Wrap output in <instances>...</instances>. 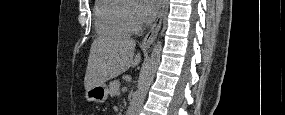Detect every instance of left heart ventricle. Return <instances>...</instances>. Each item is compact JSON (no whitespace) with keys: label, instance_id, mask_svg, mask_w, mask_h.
<instances>
[{"label":"left heart ventricle","instance_id":"1","mask_svg":"<svg viewBox=\"0 0 285 115\" xmlns=\"http://www.w3.org/2000/svg\"><path fill=\"white\" fill-rule=\"evenodd\" d=\"M132 10L134 11V10H136V8H135V7H133V8H132Z\"/></svg>","mask_w":285,"mask_h":115}]
</instances>
